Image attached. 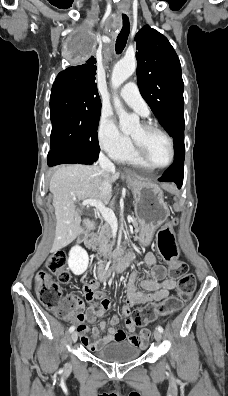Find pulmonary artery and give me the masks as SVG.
I'll return each mask as SVG.
<instances>
[{"mask_svg":"<svg viewBox=\"0 0 228 396\" xmlns=\"http://www.w3.org/2000/svg\"><path fill=\"white\" fill-rule=\"evenodd\" d=\"M122 99L141 115H148L149 108L136 83L128 82L120 90Z\"/></svg>","mask_w":228,"mask_h":396,"instance_id":"obj_1","label":"pulmonary artery"}]
</instances>
